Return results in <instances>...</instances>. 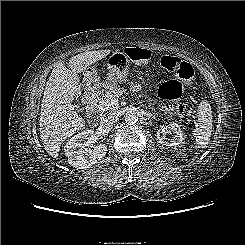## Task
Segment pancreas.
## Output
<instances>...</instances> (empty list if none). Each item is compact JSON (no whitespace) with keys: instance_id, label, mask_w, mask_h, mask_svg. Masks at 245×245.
<instances>
[{"instance_id":"pancreas-1","label":"pancreas","mask_w":245,"mask_h":245,"mask_svg":"<svg viewBox=\"0 0 245 245\" xmlns=\"http://www.w3.org/2000/svg\"><path fill=\"white\" fill-rule=\"evenodd\" d=\"M125 92L124 89L122 88H118V89H113V90H109L108 92H106V94L100 99V106L104 103L110 102L112 98H118L119 96H121L123 93ZM119 108L118 105L113 106V107H109L106 108L104 110L106 111H115ZM160 110L163 111L164 113H167L168 108L166 106H160Z\"/></svg>"}]
</instances>
